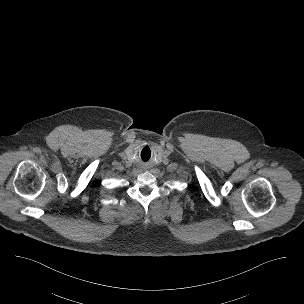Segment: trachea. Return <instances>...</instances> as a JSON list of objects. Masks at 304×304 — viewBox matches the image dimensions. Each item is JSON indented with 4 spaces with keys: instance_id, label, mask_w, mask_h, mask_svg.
<instances>
[{
    "instance_id": "obj_1",
    "label": "trachea",
    "mask_w": 304,
    "mask_h": 304,
    "mask_svg": "<svg viewBox=\"0 0 304 304\" xmlns=\"http://www.w3.org/2000/svg\"><path fill=\"white\" fill-rule=\"evenodd\" d=\"M153 150L150 147H143L139 153V160L141 162H148L153 157Z\"/></svg>"
}]
</instances>
